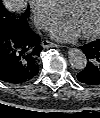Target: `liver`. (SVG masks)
<instances>
[{
  "instance_id": "1",
  "label": "liver",
  "mask_w": 100,
  "mask_h": 118,
  "mask_svg": "<svg viewBox=\"0 0 100 118\" xmlns=\"http://www.w3.org/2000/svg\"><path fill=\"white\" fill-rule=\"evenodd\" d=\"M3 5L12 13H21L27 5V0H3Z\"/></svg>"
}]
</instances>
